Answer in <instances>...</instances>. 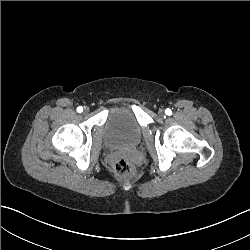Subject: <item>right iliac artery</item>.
Returning <instances> with one entry per match:
<instances>
[{
	"instance_id": "82829eb1",
	"label": "right iliac artery",
	"mask_w": 250,
	"mask_h": 250,
	"mask_svg": "<svg viewBox=\"0 0 250 250\" xmlns=\"http://www.w3.org/2000/svg\"><path fill=\"white\" fill-rule=\"evenodd\" d=\"M83 111V107L82 106H79L78 108H77V112L78 113H81Z\"/></svg>"
}]
</instances>
